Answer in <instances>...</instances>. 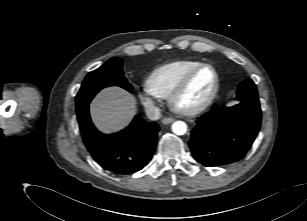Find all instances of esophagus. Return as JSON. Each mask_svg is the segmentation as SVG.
<instances>
[{"label":"esophagus","instance_id":"esophagus-1","mask_svg":"<svg viewBox=\"0 0 307 221\" xmlns=\"http://www.w3.org/2000/svg\"><path fill=\"white\" fill-rule=\"evenodd\" d=\"M174 121H175L174 118H169V117L163 118V119L161 120V122H162L163 124H165V125L170 124V123H172V122H174Z\"/></svg>","mask_w":307,"mask_h":221}]
</instances>
